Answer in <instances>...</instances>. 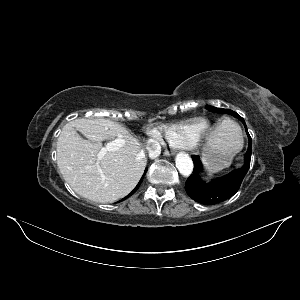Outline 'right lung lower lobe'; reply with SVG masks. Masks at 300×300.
Here are the masks:
<instances>
[{
	"instance_id": "98d812e1",
	"label": "right lung lower lobe",
	"mask_w": 300,
	"mask_h": 300,
	"mask_svg": "<svg viewBox=\"0 0 300 300\" xmlns=\"http://www.w3.org/2000/svg\"><path fill=\"white\" fill-rule=\"evenodd\" d=\"M146 171H147V168H146L144 174L146 173ZM143 176H144V175H143ZM142 180H143V177L141 178L140 182H139L138 185L135 187V189H134L127 197H129V196H131V195H133V194L135 193V191H136V190L138 189V187L140 186ZM125 198H126V197H125Z\"/></svg>"
}]
</instances>
